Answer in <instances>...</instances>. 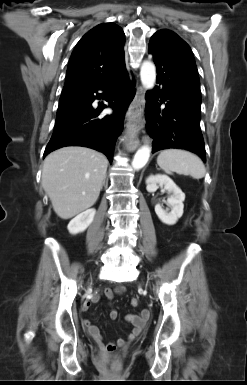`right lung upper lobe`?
<instances>
[{
    "label": "right lung upper lobe",
    "mask_w": 247,
    "mask_h": 385,
    "mask_svg": "<svg viewBox=\"0 0 247 385\" xmlns=\"http://www.w3.org/2000/svg\"><path fill=\"white\" fill-rule=\"evenodd\" d=\"M125 34L113 23L87 32L74 48L67 68L65 91H88L108 82L125 67Z\"/></svg>",
    "instance_id": "cb5924a9"
}]
</instances>
